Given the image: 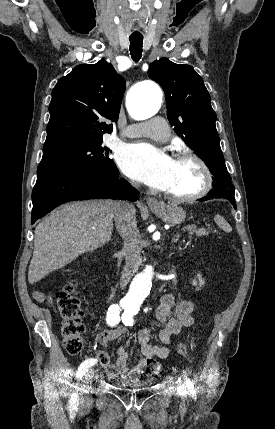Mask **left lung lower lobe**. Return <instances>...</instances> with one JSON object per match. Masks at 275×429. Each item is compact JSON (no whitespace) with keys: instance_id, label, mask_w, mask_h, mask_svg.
Instances as JSON below:
<instances>
[{"instance_id":"0a47b994","label":"left lung lower lobe","mask_w":275,"mask_h":429,"mask_svg":"<svg viewBox=\"0 0 275 429\" xmlns=\"http://www.w3.org/2000/svg\"><path fill=\"white\" fill-rule=\"evenodd\" d=\"M214 198L227 199L231 202L233 207L236 209L234 190H231L227 187H216V188H213L206 197L200 199V201H205V200L214 199Z\"/></svg>"}]
</instances>
